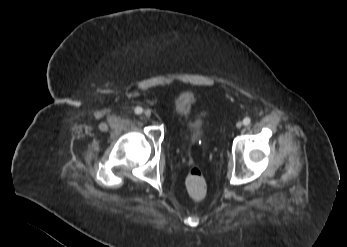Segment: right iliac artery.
Here are the masks:
<instances>
[{"instance_id": "82829eb1", "label": "right iliac artery", "mask_w": 347, "mask_h": 247, "mask_svg": "<svg viewBox=\"0 0 347 247\" xmlns=\"http://www.w3.org/2000/svg\"><path fill=\"white\" fill-rule=\"evenodd\" d=\"M134 111L136 114H141L143 112V109L141 107H136Z\"/></svg>"}]
</instances>
